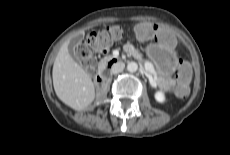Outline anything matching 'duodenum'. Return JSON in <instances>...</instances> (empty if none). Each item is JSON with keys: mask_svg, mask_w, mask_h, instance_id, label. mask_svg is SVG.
Returning a JSON list of instances; mask_svg holds the SVG:
<instances>
[{"mask_svg": "<svg viewBox=\"0 0 230 155\" xmlns=\"http://www.w3.org/2000/svg\"><path fill=\"white\" fill-rule=\"evenodd\" d=\"M112 64H113V61H109L108 63L104 65L102 70L97 74L96 83L98 85H102L103 83L107 81V71L111 67Z\"/></svg>", "mask_w": 230, "mask_h": 155, "instance_id": "duodenum-1", "label": "duodenum"}]
</instances>
